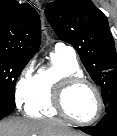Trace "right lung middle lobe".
I'll use <instances>...</instances> for the list:
<instances>
[{
    "label": "right lung middle lobe",
    "instance_id": "dd1d6c3e",
    "mask_svg": "<svg viewBox=\"0 0 117 136\" xmlns=\"http://www.w3.org/2000/svg\"><path fill=\"white\" fill-rule=\"evenodd\" d=\"M29 59L0 55V98L14 100L15 83Z\"/></svg>",
    "mask_w": 117,
    "mask_h": 136
}]
</instances>
